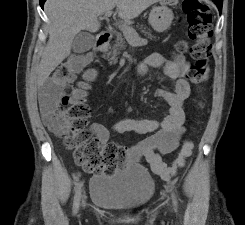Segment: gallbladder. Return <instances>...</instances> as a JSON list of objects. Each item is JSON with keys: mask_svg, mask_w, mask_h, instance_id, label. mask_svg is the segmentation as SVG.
<instances>
[{"mask_svg": "<svg viewBox=\"0 0 245 225\" xmlns=\"http://www.w3.org/2000/svg\"><path fill=\"white\" fill-rule=\"evenodd\" d=\"M95 43L94 36L89 32L78 33L72 42V49L77 54H82L90 50Z\"/></svg>", "mask_w": 245, "mask_h": 225, "instance_id": "gallbladder-1", "label": "gallbladder"}]
</instances>
